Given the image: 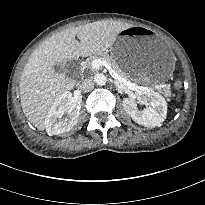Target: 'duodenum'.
I'll list each match as a JSON object with an SVG mask.
<instances>
[{
    "mask_svg": "<svg viewBox=\"0 0 205 205\" xmlns=\"http://www.w3.org/2000/svg\"><path fill=\"white\" fill-rule=\"evenodd\" d=\"M76 67H77V73H78V77H80L81 74V65L79 63H76Z\"/></svg>",
    "mask_w": 205,
    "mask_h": 205,
    "instance_id": "1",
    "label": "duodenum"
}]
</instances>
